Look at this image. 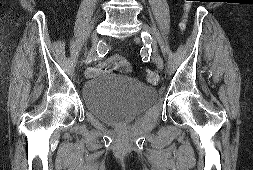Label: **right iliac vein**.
Segmentation results:
<instances>
[{"label": "right iliac vein", "instance_id": "1", "mask_svg": "<svg viewBox=\"0 0 253 170\" xmlns=\"http://www.w3.org/2000/svg\"><path fill=\"white\" fill-rule=\"evenodd\" d=\"M97 42H98V36H97V33L94 32L92 34V47H91V49H90V51L88 53V56H87V58L85 60V64L86 65L90 64L94 60V58H95L96 44H97Z\"/></svg>", "mask_w": 253, "mask_h": 170}]
</instances>
